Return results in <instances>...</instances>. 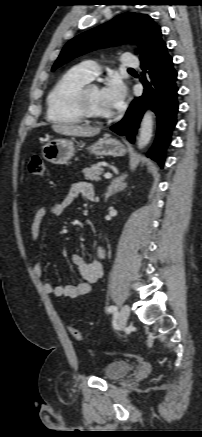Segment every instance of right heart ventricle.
<instances>
[{
	"mask_svg": "<svg viewBox=\"0 0 202 437\" xmlns=\"http://www.w3.org/2000/svg\"><path fill=\"white\" fill-rule=\"evenodd\" d=\"M89 81L90 79L79 67L65 72L47 96V119L58 124L81 123L83 119L76 109L75 96L77 91Z\"/></svg>",
	"mask_w": 202,
	"mask_h": 437,
	"instance_id": "1",
	"label": "right heart ventricle"
}]
</instances>
